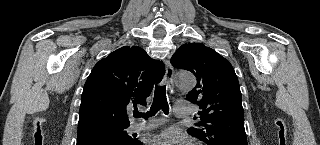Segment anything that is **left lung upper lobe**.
I'll list each match as a JSON object with an SVG mask.
<instances>
[{"mask_svg": "<svg viewBox=\"0 0 320 145\" xmlns=\"http://www.w3.org/2000/svg\"><path fill=\"white\" fill-rule=\"evenodd\" d=\"M171 63L197 78L187 99L202 109L198 112L201 121L188 133L207 145L232 141L247 145L239 82L230 62L202 43H186L174 53Z\"/></svg>", "mask_w": 320, "mask_h": 145, "instance_id": "1", "label": "left lung upper lobe"}]
</instances>
